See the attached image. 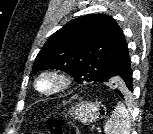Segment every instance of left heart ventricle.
I'll list each match as a JSON object with an SVG mask.
<instances>
[{
	"label": "left heart ventricle",
	"instance_id": "b2bd125f",
	"mask_svg": "<svg viewBox=\"0 0 153 134\" xmlns=\"http://www.w3.org/2000/svg\"><path fill=\"white\" fill-rule=\"evenodd\" d=\"M55 85H56L55 80L51 78H43L39 83L40 89L45 90V91L53 89Z\"/></svg>",
	"mask_w": 153,
	"mask_h": 134
}]
</instances>
